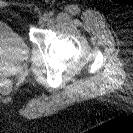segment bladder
I'll list each match as a JSON object with an SVG mask.
<instances>
[{"mask_svg": "<svg viewBox=\"0 0 133 133\" xmlns=\"http://www.w3.org/2000/svg\"><path fill=\"white\" fill-rule=\"evenodd\" d=\"M29 56V46L24 37L10 24L0 21V61L18 63Z\"/></svg>", "mask_w": 133, "mask_h": 133, "instance_id": "obj_1", "label": "bladder"}]
</instances>
